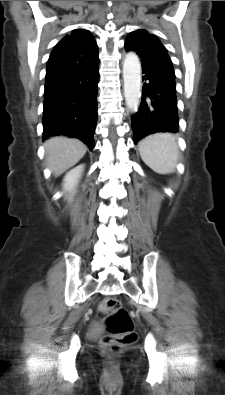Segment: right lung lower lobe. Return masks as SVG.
Instances as JSON below:
<instances>
[{
    "label": "right lung lower lobe",
    "instance_id": "1",
    "mask_svg": "<svg viewBox=\"0 0 225 395\" xmlns=\"http://www.w3.org/2000/svg\"><path fill=\"white\" fill-rule=\"evenodd\" d=\"M99 58L81 70L46 80L43 103V139L66 135L82 140L92 150L97 121Z\"/></svg>",
    "mask_w": 225,
    "mask_h": 395
}]
</instances>
